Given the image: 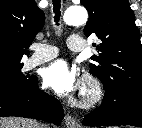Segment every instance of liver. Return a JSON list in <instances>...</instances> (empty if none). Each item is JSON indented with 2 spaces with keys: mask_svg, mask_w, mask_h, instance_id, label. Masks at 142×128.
I'll use <instances>...</instances> for the list:
<instances>
[{
  "mask_svg": "<svg viewBox=\"0 0 142 128\" xmlns=\"http://www.w3.org/2000/svg\"><path fill=\"white\" fill-rule=\"evenodd\" d=\"M36 120L21 117L0 118V128H39Z\"/></svg>",
  "mask_w": 142,
  "mask_h": 128,
  "instance_id": "6515ba94",
  "label": "liver"
}]
</instances>
